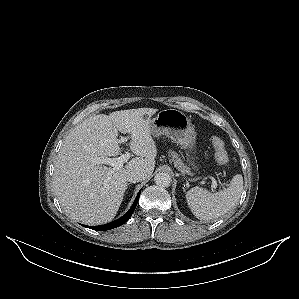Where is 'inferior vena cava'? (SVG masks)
<instances>
[{
    "label": "inferior vena cava",
    "mask_w": 299,
    "mask_h": 299,
    "mask_svg": "<svg viewBox=\"0 0 299 299\" xmlns=\"http://www.w3.org/2000/svg\"><path fill=\"white\" fill-rule=\"evenodd\" d=\"M146 178V172L143 169H133L127 175V180L131 183H136Z\"/></svg>",
    "instance_id": "obj_1"
}]
</instances>
